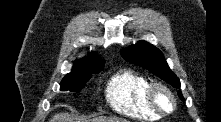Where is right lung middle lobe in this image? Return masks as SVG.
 Wrapping results in <instances>:
<instances>
[{
  "instance_id": "right-lung-middle-lobe-1",
  "label": "right lung middle lobe",
  "mask_w": 221,
  "mask_h": 122,
  "mask_svg": "<svg viewBox=\"0 0 221 122\" xmlns=\"http://www.w3.org/2000/svg\"><path fill=\"white\" fill-rule=\"evenodd\" d=\"M103 67H100L94 71L77 75H66L60 85L61 91L80 92L86 82L91 78L92 73L99 72Z\"/></svg>"
}]
</instances>
